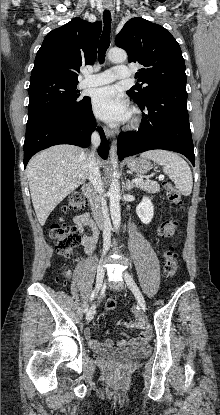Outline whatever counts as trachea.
Listing matches in <instances>:
<instances>
[{
  "label": "trachea",
  "mask_w": 220,
  "mask_h": 415,
  "mask_svg": "<svg viewBox=\"0 0 220 415\" xmlns=\"http://www.w3.org/2000/svg\"><path fill=\"white\" fill-rule=\"evenodd\" d=\"M103 22L104 28L98 47V58L100 64L104 63L106 51L110 46L111 13L109 10H105L103 12Z\"/></svg>",
  "instance_id": "trachea-1"
}]
</instances>
